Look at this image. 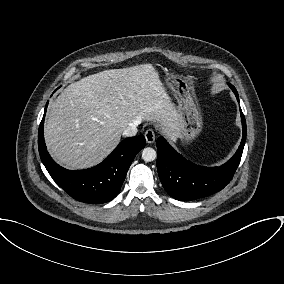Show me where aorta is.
<instances>
[{"label":"aorta","instance_id":"obj_1","mask_svg":"<svg viewBox=\"0 0 284 284\" xmlns=\"http://www.w3.org/2000/svg\"><path fill=\"white\" fill-rule=\"evenodd\" d=\"M156 157H157V153L153 148L147 147L142 150V159L144 161L151 162L155 160Z\"/></svg>","mask_w":284,"mask_h":284}]
</instances>
